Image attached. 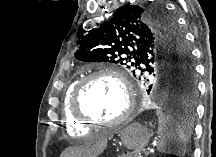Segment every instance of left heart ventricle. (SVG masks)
Listing matches in <instances>:
<instances>
[{
    "label": "left heart ventricle",
    "instance_id": "left-heart-ventricle-1",
    "mask_svg": "<svg viewBox=\"0 0 216 157\" xmlns=\"http://www.w3.org/2000/svg\"><path fill=\"white\" fill-rule=\"evenodd\" d=\"M82 109L101 121H114L126 107L125 95L120 85L108 77L93 79L85 88Z\"/></svg>",
    "mask_w": 216,
    "mask_h": 157
}]
</instances>
